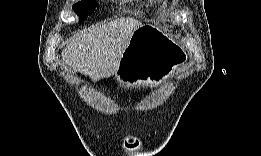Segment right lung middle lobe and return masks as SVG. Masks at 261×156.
I'll return each instance as SVG.
<instances>
[{
	"mask_svg": "<svg viewBox=\"0 0 261 156\" xmlns=\"http://www.w3.org/2000/svg\"><path fill=\"white\" fill-rule=\"evenodd\" d=\"M95 8L94 0H82L73 6L74 11L79 16V20H85L88 15L93 13Z\"/></svg>",
	"mask_w": 261,
	"mask_h": 156,
	"instance_id": "obj_1",
	"label": "right lung middle lobe"
}]
</instances>
